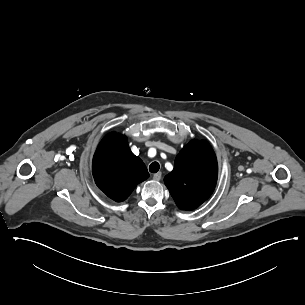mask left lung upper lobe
<instances>
[{"instance_id": "5c2ea615", "label": "left lung upper lobe", "mask_w": 305, "mask_h": 305, "mask_svg": "<svg viewBox=\"0 0 305 305\" xmlns=\"http://www.w3.org/2000/svg\"><path fill=\"white\" fill-rule=\"evenodd\" d=\"M217 175V159L210 144L192 140L176 156L174 169L164 182L181 210H193L210 197Z\"/></svg>"}]
</instances>
